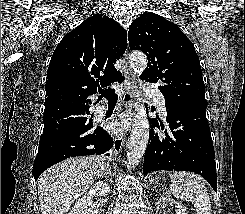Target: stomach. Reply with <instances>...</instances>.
Segmentation results:
<instances>
[{"label": "stomach", "instance_id": "1", "mask_svg": "<svg viewBox=\"0 0 245 214\" xmlns=\"http://www.w3.org/2000/svg\"><path fill=\"white\" fill-rule=\"evenodd\" d=\"M155 182H158V179H155Z\"/></svg>", "mask_w": 245, "mask_h": 214}]
</instances>
